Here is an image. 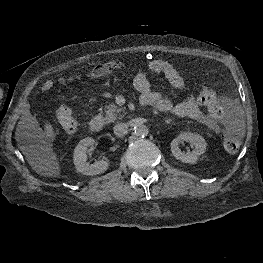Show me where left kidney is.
<instances>
[{
	"label": "left kidney",
	"instance_id": "left-kidney-1",
	"mask_svg": "<svg viewBox=\"0 0 263 263\" xmlns=\"http://www.w3.org/2000/svg\"><path fill=\"white\" fill-rule=\"evenodd\" d=\"M184 141L188 142L191 146L194 147L191 152L184 153L181 151L180 143ZM170 145L171 152L176 159L191 164L195 163L197 159L205 153L207 146L206 141L202 136L189 132L181 133L179 136L172 140Z\"/></svg>",
	"mask_w": 263,
	"mask_h": 263
}]
</instances>
